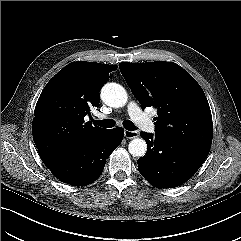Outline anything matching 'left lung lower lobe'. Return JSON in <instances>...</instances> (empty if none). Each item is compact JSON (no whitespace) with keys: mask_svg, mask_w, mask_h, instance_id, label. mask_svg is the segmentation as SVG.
I'll list each match as a JSON object with an SVG mask.
<instances>
[{"mask_svg":"<svg viewBox=\"0 0 241 241\" xmlns=\"http://www.w3.org/2000/svg\"><path fill=\"white\" fill-rule=\"evenodd\" d=\"M147 143L146 154L139 158L141 175L154 187L173 188L191 178L205 161L209 150L189 143L140 133Z\"/></svg>","mask_w":241,"mask_h":241,"instance_id":"left-lung-lower-lobe-1","label":"left lung lower lobe"}]
</instances>
